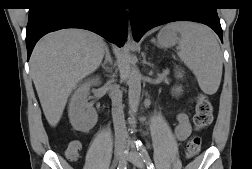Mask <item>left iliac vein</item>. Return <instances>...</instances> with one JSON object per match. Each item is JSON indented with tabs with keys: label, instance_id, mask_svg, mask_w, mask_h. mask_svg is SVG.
Listing matches in <instances>:
<instances>
[{
	"label": "left iliac vein",
	"instance_id": "obj_1",
	"mask_svg": "<svg viewBox=\"0 0 252 169\" xmlns=\"http://www.w3.org/2000/svg\"><path fill=\"white\" fill-rule=\"evenodd\" d=\"M125 158L139 169H144L145 164L143 159L135 149H132L129 154H126Z\"/></svg>",
	"mask_w": 252,
	"mask_h": 169
}]
</instances>
